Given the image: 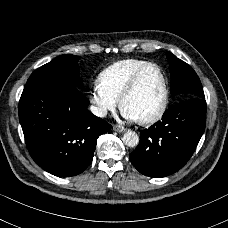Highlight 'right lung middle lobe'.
I'll list each match as a JSON object with an SVG mask.
<instances>
[{
	"label": "right lung middle lobe",
	"mask_w": 228,
	"mask_h": 228,
	"mask_svg": "<svg viewBox=\"0 0 228 228\" xmlns=\"http://www.w3.org/2000/svg\"><path fill=\"white\" fill-rule=\"evenodd\" d=\"M79 58L75 55H60L51 62L36 69L29 77L27 83L45 79H63L69 81L77 88L82 89V79L79 77Z\"/></svg>",
	"instance_id": "right-lung-middle-lobe-1"
}]
</instances>
